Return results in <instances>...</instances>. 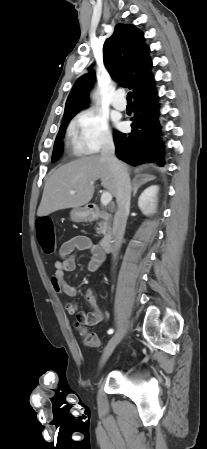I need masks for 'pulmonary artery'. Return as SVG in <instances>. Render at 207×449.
<instances>
[{
    "instance_id": "obj_1",
    "label": "pulmonary artery",
    "mask_w": 207,
    "mask_h": 449,
    "mask_svg": "<svg viewBox=\"0 0 207 449\" xmlns=\"http://www.w3.org/2000/svg\"><path fill=\"white\" fill-rule=\"evenodd\" d=\"M112 105L118 110H124L126 108V101L123 91H117L112 98Z\"/></svg>"
}]
</instances>
